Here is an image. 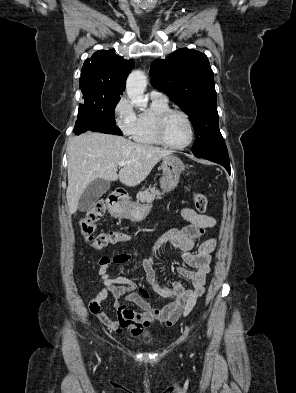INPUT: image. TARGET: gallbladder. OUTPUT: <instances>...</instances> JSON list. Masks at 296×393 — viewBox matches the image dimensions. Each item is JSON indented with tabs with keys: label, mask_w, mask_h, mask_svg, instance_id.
<instances>
[{
	"label": "gallbladder",
	"mask_w": 296,
	"mask_h": 393,
	"mask_svg": "<svg viewBox=\"0 0 296 393\" xmlns=\"http://www.w3.org/2000/svg\"><path fill=\"white\" fill-rule=\"evenodd\" d=\"M110 188V182L104 179H95L84 190L78 203V209L82 212L89 210L96 201Z\"/></svg>",
	"instance_id": "bac80fb5"
}]
</instances>
